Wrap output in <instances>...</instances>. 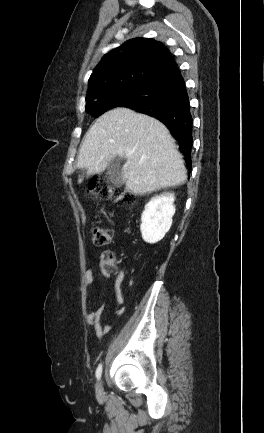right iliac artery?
I'll use <instances>...</instances> for the list:
<instances>
[{
	"instance_id": "right-iliac-artery-1",
	"label": "right iliac artery",
	"mask_w": 264,
	"mask_h": 433,
	"mask_svg": "<svg viewBox=\"0 0 264 433\" xmlns=\"http://www.w3.org/2000/svg\"><path fill=\"white\" fill-rule=\"evenodd\" d=\"M96 378L97 379H100V377H101V374H102V365H99L98 367H97V369H96Z\"/></svg>"
}]
</instances>
